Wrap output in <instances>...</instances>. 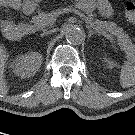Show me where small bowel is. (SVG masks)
Here are the masks:
<instances>
[{
	"label": "small bowel",
	"instance_id": "c3829d8e",
	"mask_svg": "<svg viewBox=\"0 0 135 135\" xmlns=\"http://www.w3.org/2000/svg\"><path fill=\"white\" fill-rule=\"evenodd\" d=\"M97 9L104 16H110L112 14V8L108 2V0H93ZM0 5L10 8V9H18L21 6L20 0H0Z\"/></svg>",
	"mask_w": 135,
	"mask_h": 135
}]
</instances>
